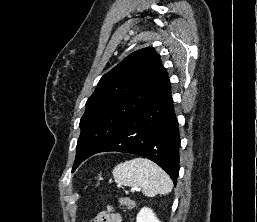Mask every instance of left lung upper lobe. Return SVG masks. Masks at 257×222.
Masks as SVG:
<instances>
[{
  "instance_id": "obj_1",
  "label": "left lung upper lobe",
  "mask_w": 257,
  "mask_h": 222,
  "mask_svg": "<svg viewBox=\"0 0 257 222\" xmlns=\"http://www.w3.org/2000/svg\"><path fill=\"white\" fill-rule=\"evenodd\" d=\"M169 86L167 72L152 47L131 53L103 75L80 120L73 169L97 153Z\"/></svg>"
}]
</instances>
